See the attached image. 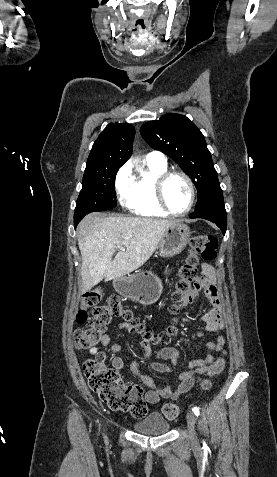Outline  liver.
<instances>
[{"mask_svg":"<svg viewBox=\"0 0 277 477\" xmlns=\"http://www.w3.org/2000/svg\"><path fill=\"white\" fill-rule=\"evenodd\" d=\"M174 220L109 216H86L77 229L82 256V289L85 293L104 278L110 281L141 267L157 249ZM114 260L112 256L118 247Z\"/></svg>","mask_w":277,"mask_h":477,"instance_id":"liver-1","label":"liver"}]
</instances>
